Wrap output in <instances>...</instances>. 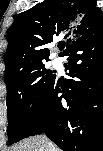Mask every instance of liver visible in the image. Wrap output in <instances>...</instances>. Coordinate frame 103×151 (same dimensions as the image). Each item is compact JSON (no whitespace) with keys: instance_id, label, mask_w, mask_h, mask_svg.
Returning <instances> with one entry per match:
<instances>
[{"instance_id":"liver-1","label":"liver","mask_w":103,"mask_h":151,"mask_svg":"<svg viewBox=\"0 0 103 151\" xmlns=\"http://www.w3.org/2000/svg\"><path fill=\"white\" fill-rule=\"evenodd\" d=\"M46 149L58 151V148L53 144L51 148L46 147L43 136H35L24 140L19 145L15 146L12 151H47Z\"/></svg>"}]
</instances>
